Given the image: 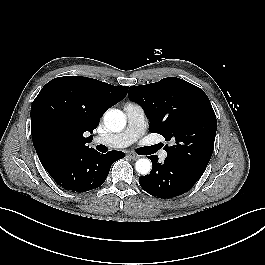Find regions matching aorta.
<instances>
[{
  "instance_id": "762f6f07",
  "label": "aorta",
  "mask_w": 265,
  "mask_h": 265,
  "mask_svg": "<svg viewBox=\"0 0 265 265\" xmlns=\"http://www.w3.org/2000/svg\"><path fill=\"white\" fill-rule=\"evenodd\" d=\"M104 124L112 132H120L126 126V116L118 109H111L104 115ZM149 159L141 158L136 161L135 169L141 175H147L151 171Z\"/></svg>"
}]
</instances>
